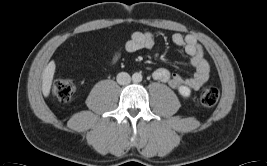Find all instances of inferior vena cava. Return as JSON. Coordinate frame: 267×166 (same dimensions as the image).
I'll use <instances>...</instances> for the list:
<instances>
[{
  "mask_svg": "<svg viewBox=\"0 0 267 166\" xmlns=\"http://www.w3.org/2000/svg\"><path fill=\"white\" fill-rule=\"evenodd\" d=\"M117 82L120 85H127L131 82V77L128 73L126 72H120L117 75Z\"/></svg>",
  "mask_w": 267,
  "mask_h": 166,
  "instance_id": "inferior-vena-cava-1",
  "label": "inferior vena cava"
}]
</instances>
